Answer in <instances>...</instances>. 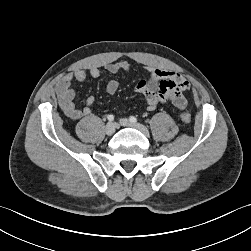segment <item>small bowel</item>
<instances>
[{"instance_id": "obj_1", "label": "small bowel", "mask_w": 251, "mask_h": 251, "mask_svg": "<svg viewBox=\"0 0 251 251\" xmlns=\"http://www.w3.org/2000/svg\"><path fill=\"white\" fill-rule=\"evenodd\" d=\"M109 73L116 74L130 70V65L126 61H117L106 65ZM147 78L140 80L136 86V91L144 96L147 109L152 111L159 104H172L179 110H184L187 101L183 93L190 88L189 82L179 73L165 69L146 67ZM101 70L98 67L83 70L79 69L71 74L63 76L56 85L59 106L63 113L72 120H79L92 113V106L95 102L93 96L86 99L85 106L79 108L75 104V91L72 87L73 81L83 82L88 76L98 78ZM119 88L117 80H109L106 84V92L115 94Z\"/></svg>"}]
</instances>
